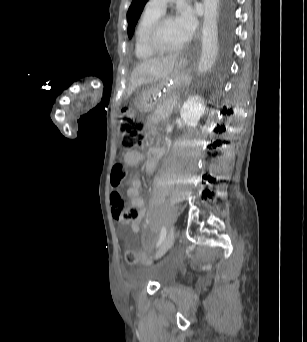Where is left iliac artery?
<instances>
[{
  "instance_id": "1",
  "label": "left iliac artery",
  "mask_w": 307,
  "mask_h": 342,
  "mask_svg": "<svg viewBox=\"0 0 307 342\" xmlns=\"http://www.w3.org/2000/svg\"><path fill=\"white\" fill-rule=\"evenodd\" d=\"M165 237H166V228H165V226H163V227L161 228L159 240H158V242H157V244H156V247H159V246H160V244L163 242V240L165 239Z\"/></svg>"
}]
</instances>
